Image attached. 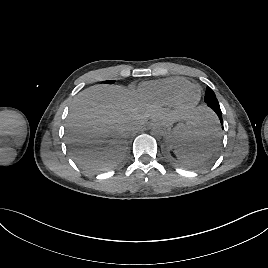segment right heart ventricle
Instances as JSON below:
<instances>
[{"mask_svg": "<svg viewBox=\"0 0 268 268\" xmlns=\"http://www.w3.org/2000/svg\"><path fill=\"white\" fill-rule=\"evenodd\" d=\"M190 85V82L182 77H171L150 83L141 87V93L152 100L169 102L184 87Z\"/></svg>", "mask_w": 268, "mask_h": 268, "instance_id": "right-heart-ventricle-1", "label": "right heart ventricle"}]
</instances>
